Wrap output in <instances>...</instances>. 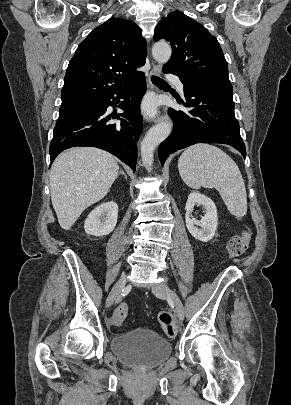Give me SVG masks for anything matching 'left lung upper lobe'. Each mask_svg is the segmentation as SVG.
I'll return each mask as SVG.
<instances>
[{
	"label": "left lung upper lobe",
	"instance_id": "1",
	"mask_svg": "<svg viewBox=\"0 0 291 405\" xmlns=\"http://www.w3.org/2000/svg\"><path fill=\"white\" fill-rule=\"evenodd\" d=\"M160 39L169 41L173 49L163 69L173 70L183 79L230 83L223 51L200 23L174 11L156 26L154 40Z\"/></svg>",
	"mask_w": 291,
	"mask_h": 405
}]
</instances>
